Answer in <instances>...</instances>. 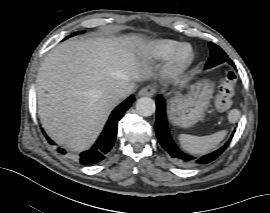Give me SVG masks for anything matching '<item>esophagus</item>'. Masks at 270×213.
Here are the masks:
<instances>
[{"mask_svg":"<svg viewBox=\"0 0 270 213\" xmlns=\"http://www.w3.org/2000/svg\"><path fill=\"white\" fill-rule=\"evenodd\" d=\"M156 93V89L153 86H145L139 92L138 96H153Z\"/></svg>","mask_w":270,"mask_h":213,"instance_id":"esophagus-1","label":"esophagus"}]
</instances>
